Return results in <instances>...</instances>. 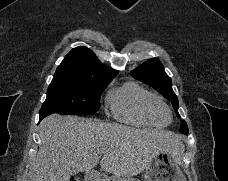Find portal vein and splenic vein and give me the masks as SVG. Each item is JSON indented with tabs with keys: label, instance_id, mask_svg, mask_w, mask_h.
Returning a JSON list of instances; mask_svg holds the SVG:
<instances>
[{
	"label": "portal vein and splenic vein",
	"instance_id": "obj_1",
	"mask_svg": "<svg viewBox=\"0 0 228 181\" xmlns=\"http://www.w3.org/2000/svg\"><path fill=\"white\" fill-rule=\"evenodd\" d=\"M106 149H102V151H99L98 155H103L105 153Z\"/></svg>",
	"mask_w": 228,
	"mask_h": 181
}]
</instances>
